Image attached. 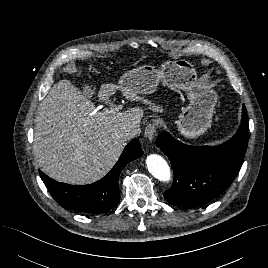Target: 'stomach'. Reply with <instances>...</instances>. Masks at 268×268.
<instances>
[{"label":"stomach","instance_id":"1","mask_svg":"<svg viewBox=\"0 0 268 268\" xmlns=\"http://www.w3.org/2000/svg\"><path fill=\"white\" fill-rule=\"evenodd\" d=\"M160 82L173 90L184 91L190 101L176 121L180 133L195 138L207 131L211 126L217 94L200 86L194 65L185 59L167 60L160 69L143 65L127 71L121 76L118 89L122 93L151 94Z\"/></svg>","mask_w":268,"mask_h":268}]
</instances>
